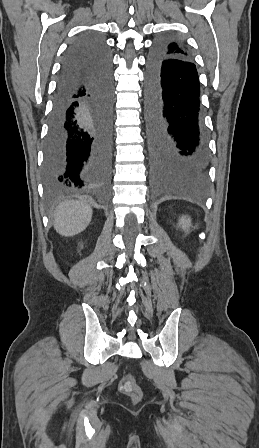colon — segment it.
<instances>
[{
	"label": "colon",
	"instance_id": "1",
	"mask_svg": "<svg viewBox=\"0 0 259 448\" xmlns=\"http://www.w3.org/2000/svg\"><path fill=\"white\" fill-rule=\"evenodd\" d=\"M120 390L128 395L133 402H138L142 397V391L131 375H125L121 379Z\"/></svg>",
	"mask_w": 259,
	"mask_h": 448
}]
</instances>
